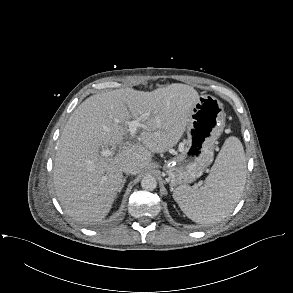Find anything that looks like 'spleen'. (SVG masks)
I'll list each match as a JSON object with an SVG mask.
<instances>
[{"instance_id":"3e777b00","label":"spleen","mask_w":293,"mask_h":293,"mask_svg":"<svg viewBox=\"0 0 293 293\" xmlns=\"http://www.w3.org/2000/svg\"><path fill=\"white\" fill-rule=\"evenodd\" d=\"M246 181L243 145L236 137L225 140L205 184L198 189L182 185L173 198L188 218L214 224L229 216L241 198Z\"/></svg>"}]
</instances>
